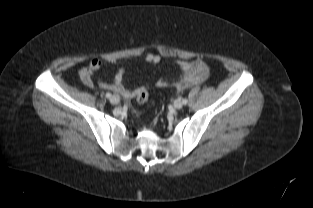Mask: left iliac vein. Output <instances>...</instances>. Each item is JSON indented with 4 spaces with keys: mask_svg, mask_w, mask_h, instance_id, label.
Wrapping results in <instances>:
<instances>
[{
    "mask_svg": "<svg viewBox=\"0 0 313 208\" xmlns=\"http://www.w3.org/2000/svg\"><path fill=\"white\" fill-rule=\"evenodd\" d=\"M174 107H175L176 109H181V108L183 107V102H182L180 99H176V100L174 101Z\"/></svg>",
    "mask_w": 313,
    "mask_h": 208,
    "instance_id": "4c4485c4",
    "label": "left iliac vein"
}]
</instances>
